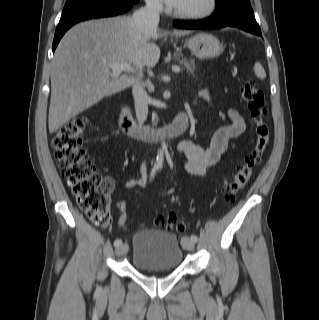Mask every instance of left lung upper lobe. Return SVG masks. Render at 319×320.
<instances>
[{
    "mask_svg": "<svg viewBox=\"0 0 319 320\" xmlns=\"http://www.w3.org/2000/svg\"><path fill=\"white\" fill-rule=\"evenodd\" d=\"M235 2L250 3L249 0H216V8H221L225 4L235 3Z\"/></svg>",
    "mask_w": 319,
    "mask_h": 320,
    "instance_id": "obj_1",
    "label": "left lung upper lobe"
}]
</instances>
